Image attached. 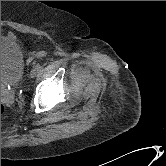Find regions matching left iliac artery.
Returning <instances> with one entry per match:
<instances>
[{
  "label": "left iliac artery",
  "instance_id": "obj_1",
  "mask_svg": "<svg viewBox=\"0 0 166 166\" xmlns=\"http://www.w3.org/2000/svg\"><path fill=\"white\" fill-rule=\"evenodd\" d=\"M35 68H36L37 70H39V69L41 68L40 64H36V65H35Z\"/></svg>",
  "mask_w": 166,
  "mask_h": 166
}]
</instances>
